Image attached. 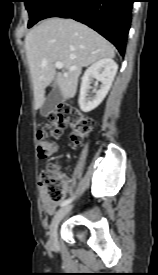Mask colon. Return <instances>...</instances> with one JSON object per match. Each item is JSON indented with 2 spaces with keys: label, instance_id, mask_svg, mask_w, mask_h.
<instances>
[{
  "label": "colon",
  "instance_id": "5ec220e1",
  "mask_svg": "<svg viewBox=\"0 0 158 275\" xmlns=\"http://www.w3.org/2000/svg\"><path fill=\"white\" fill-rule=\"evenodd\" d=\"M94 121L83 112L62 106L50 111L45 124L37 133V152L41 159L50 158L57 151V144L50 135H61L66 128L71 130L74 143L81 142L92 130ZM39 184L46 190V195L53 202H61L64 198L67 178L59 170L56 161L46 164L44 172L39 176Z\"/></svg>",
  "mask_w": 158,
  "mask_h": 275
}]
</instances>
